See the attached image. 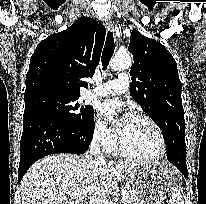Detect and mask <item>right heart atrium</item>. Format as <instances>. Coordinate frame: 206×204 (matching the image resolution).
<instances>
[{
    "label": "right heart atrium",
    "instance_id": "right-heart-atrium-1",
    "mask_svg": "<svg viewBox=\"0 0 206 204\" xmlns=\"http://www.w3.org/2000/svg\"><path fill=\"white\" fill-rule=\"evenodd\" d=\"M93 136L95 140L107 151L114 149L116 146L117 136L115 132L101 118H97L95 120Z\"/></svg>",
    "mask_w": 206,
    "mask_h": 204
}]
</instances>
